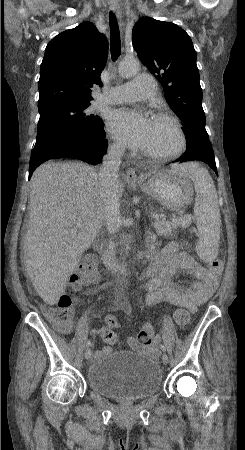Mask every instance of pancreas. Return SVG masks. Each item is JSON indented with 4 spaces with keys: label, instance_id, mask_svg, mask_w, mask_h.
<instances>
[{
    "label": "pancreas",
    "instance_id": "obj_1",
    "mask_svg": "<svg viewBox=\"0 0 245 450\" xmlns=\"http://www.w3.org/2000/svg\"><path fill=\"white\" fill-rule=\"evenodd\" d=\"M192 220L191 215H180L177 218H173L172 221H167L164 216H159L157 220L154 221V228L156 233L160 236H172L175 234V230L181 226L182 228H187L190 226ZM126 242V240H124Z\"/></svg>",
    "mask_w": 245,
    "mask_h": 450
}]
</instances>
